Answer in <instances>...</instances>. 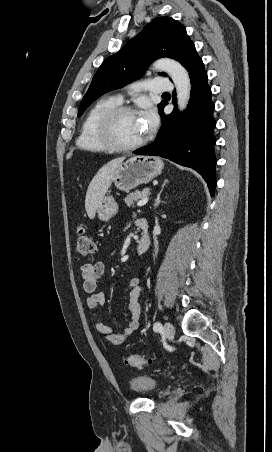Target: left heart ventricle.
Wrapping results in <instances>:
<instances>
[{
  "mask_svg": "<svg viewBox=\"0 0 272 452\" xmlns=\"http://www.w3.org/2000/svg\"><path fill=\"white\" fill-rule=\"evenodd\" d=\"M146 135L143 120L135 114H122L115 122V137L124 144H131Z\"/></svg>",
  "mask_w": 272,
  "mask_h": 452,
  "instance_id": "obj_1",
  "label": "left heart ventricle"
}]
</instances>
